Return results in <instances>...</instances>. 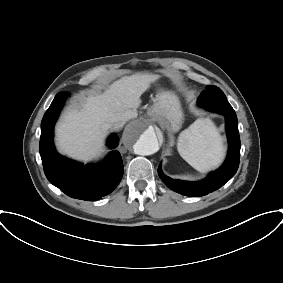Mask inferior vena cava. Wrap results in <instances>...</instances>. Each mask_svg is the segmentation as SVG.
I'll list each match as a JSON object with an SVG mask.
<instances>
[{"mask_svg": "<svg viewBox=\"0 0 283 283\" xmlns=\"http://www.w3.org/2000/svg\"><path fill=\"white\" fill-rule=\"evenodd\" d=\"M123 125H124L123 122H115V123H113V124L110 125V128H111L112 130H118V129L122 128Z\"/></svg>", "mask_w": 283, "mask_h": 283, "instance_id": "obj_1", "label": "inferior vena cava"}]
</instances>
